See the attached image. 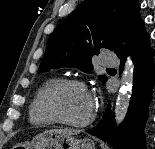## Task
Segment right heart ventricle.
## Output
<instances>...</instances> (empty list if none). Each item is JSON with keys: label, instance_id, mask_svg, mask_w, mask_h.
<instances>
[{"label": "right heart ventricle", "instance_id": "e07e8e85", "mask_svg": "<svg viewBox=\"0 0 155 149\" xmlns=\"http://www.w3.org/2000/svg\"><path fill=\"white\" fill-rule=\"evenodd\" d=\"M56 80V78H50L37 89L28 110L29 122L32 125L46 127L56 123L43 108V95L48 86Z\"/></svg>", "mask_w": 155, "mask_h": 149}]
</instances>
